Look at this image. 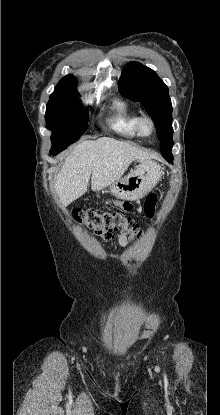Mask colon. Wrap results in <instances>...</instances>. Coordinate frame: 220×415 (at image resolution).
Returning <instances> with one entry per match:
<instances>
[{"instance_id":"5ec220e1","label":"colon","mask_w":220,"mask_h":415,"mask_svg":"<svg viewBox=\"0 0 220 415\" xmlns=\"http://www.w3.org/2000/svg\"><path fill=\"white\" fill-rule=\"evenodd\" d=\"M157 196L150 194L144 203V213L151 218L154 215ZM123 209L128 210L130 203L125 201L120 203ZM75 222L86 225L98 235L111 234L112 231H120L130 239H139L142 229L133 219L114 210H75L73 212Z\"/></svg>"}]
</instances>
